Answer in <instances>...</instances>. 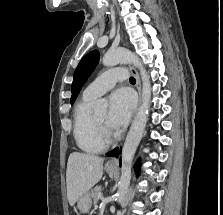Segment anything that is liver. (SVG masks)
<instances>
[{"mask_svg":"<svg viewBox=\"0 0 223 215\" xmlns=\"http://www.w3.org/2000/svg\"><path fill=\"white\" fill-rule=\"evenodd\" d=\"M103 175V157L93 153H70L67 171V199L74 205L80 195L87 193Z\"/></svg>","mask_w":223,"mask_h":215,"instance_id":"liver-1","label":"liver"}]
</instances>
